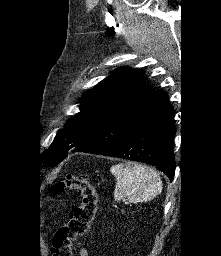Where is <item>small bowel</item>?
<instances>
[{
    "label": "small bowel",
    "mask_w": 221,
    "mask_h": 256,
    "mask_svg": "<svg viewBox=\"0 0 221 256\" xmlns=\"http://www.w3.org/2000/svg\"><path fill=\"white\" fill-rule=\"evenodd\" d=\"M80 256H87V252H86V250H81L80 251Z\"/></svg>",
    "instance_id": "c3829d8e"
}]
</instances>
